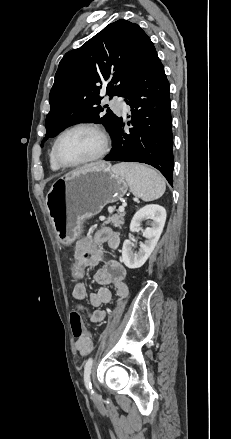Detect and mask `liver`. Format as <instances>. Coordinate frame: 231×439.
Returning a JSON list of instances; mask_svg holds the SVG:
<instances>
[{
    "instance_id": "liver-1",
    "label": "liver",
    "mask_w": 231,
    "mask_h": 439,
    "mask_svg": "<svg viewBox=\"0 0 231 439\" xmlns=\"http://www.w3.org/2000/svg\"><path fill=\"white\" fill-rule=\"evenodd\" d=\"M95 164H96V163H92V164L86 165V166H84V167L78 168V169H76V170H74V171L81 170V169H84V168H86V167L93 166V165H95ZM74 171H72V172H74ZM70 173H71V172H70Z\"/></svg>"
}]
</instances>
